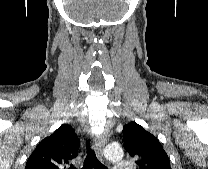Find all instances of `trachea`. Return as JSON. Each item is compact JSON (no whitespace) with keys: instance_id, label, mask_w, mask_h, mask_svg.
<instances>
[{"instance_id":"1","label":"trachea","mask_w":208,"mask_h":169,"mask_svg":"<svg viewBox=\"0 0 208 169\" xmlns=\"http://www.w3.org/2000/svg\"><path fill=\"white\" fill-rule=\"evenodd\" d=\"M107 169L96 157L94 150L91 148L90 140L87 142V155L84 160L82 169ZM74 169V167H71Z\"/></svg>"}]
</instances>
